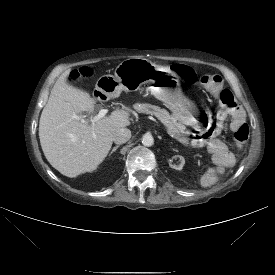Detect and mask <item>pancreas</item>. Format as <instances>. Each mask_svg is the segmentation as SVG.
Returning <instances> with one entry per match:
<instances>
[{
	"label": "pancreas",
	"mask_w": 275,
	"mask_h": 275,
	"mask_svg": "<svg viewBox=\"0 0 275 275\" xmlns=\"http://www.w3.org/2000/svg\"><path fill=\"white\" fill-rule=\"evenodd\" d=\"M134 108L139 113L155 115L167 127V131L172 137L183 144L188 143L184 127L167 110L147 103H137Z\"/></svg>",
	"instance_id": "1"
}]
</instances>
